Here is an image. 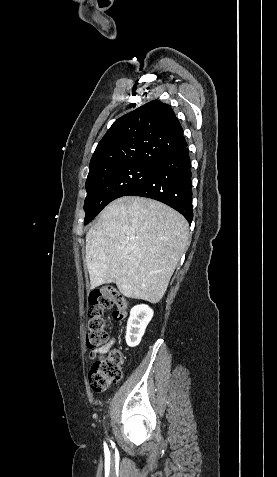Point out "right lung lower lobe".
Segmentation results:
<instances>
[{"mask_svg":"<svg viewBox=\"0 0 277 477\" xmlns=\"http://www.w3.org/2000/svg\"><path fill=\"white\" fill-rule=\"evenodd\" d=\"M191 162L187 146L159 162L153 172L127 196H141L163 202L193 219Z\"/></svg>","mask_w":277,"mask_h":477,"instance_id":"98d812e1","label":"right lung lower lobe"}]
</instances>
